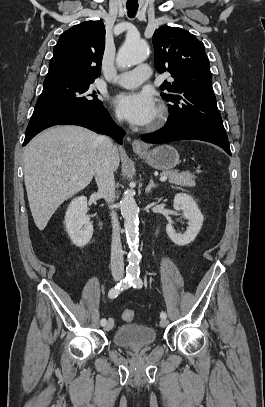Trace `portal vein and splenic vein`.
I'll return each instance as SVG.
<instances>
[{"label":"portal vein and splenic vein","mask_w":265,"mask_h":407,"mask_svg":"<svg viewBox=\"0 0 265 407\" xmlns=\"http://www.w3.org/2000/svg\"><path fill=\"white\" fill-rule=\"evenodd\" d=\"M167 178H168V176H165V175H164V176H161V177H160V181H161V182L166 181Z\"/></svg>","instance_id":"portal-vein-and-splenic-vein-1"}]
</instances>
